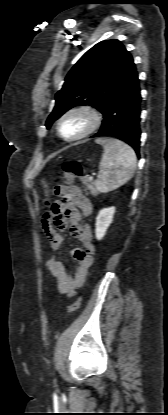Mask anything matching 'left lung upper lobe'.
Listing matches in <instances>:
<instances>
[{
  "label": "left lung upper lobe",
  "instance_id": "left-lung-upper-lobe-1",
  "mask_svg": "<svg viewBox=\"0 0 168 415\" xmlns=\"http://www.w3.org/2000/svg\"><path fill=\"white\" fill-rule=\"evenodd\" d=\"M136 72L131 54L118 40L101 41L88 50L73 66L57 92L55 107L46 127L67 110L90 105L101 113L110 100Z\"/></svg>",
  "mask_w": 168,
  "mask_h": 415
}]
</instances>
